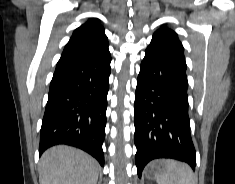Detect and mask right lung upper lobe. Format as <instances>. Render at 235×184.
<instances>
[{"mask_svg": "<svg viewBox=\"0 0 235 184\" xmlns=\"http://www.w3.org/2000/svg\"><path fill=\"white\" fill-rule=\"evenodd\" d=\"M109 56L104 28L98 19L92 18L73 32L60 59L90 60Z\"/></svg>", "mask_w": 235, "mask_h": 184, "instance_id": "obj_1", "label": "right lung upper lobe"}]
</instances>
